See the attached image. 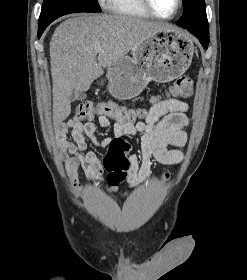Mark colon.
Here are the masks:
<instances>
[{"mask_svg":"<svg viewBox=\"0 0 247 280\" xmlns=\"http://www.w3.org/2000/svg\"><path fill=\"white\" fill-rule=\"evenodd\" d=\"M193 92V81L188 75L179 77L169 89L172 97L187 98ZM157 98H154L156 101ZM98 115H105L116 121L134 124L144 118L145 111L142 109H130L115 102L93 103L85 101L80 103L74 111V121L92 120ZM131 145L124 139H114L107 154L103 159V167L107 173L109 189L116 191L118 185L123 182L130 168L128 155L131 154Z\"/></svg>","mask_w":247,"mask_h":280,"instance_id":"colon-1","label":"colon"}]
</instances>
